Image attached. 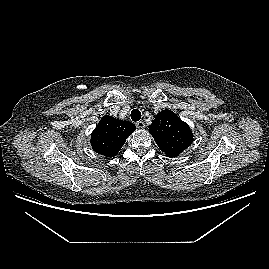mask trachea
<instances>
[{"label":"trachea","instance_id":"obj_1","mask_svg":"<svg viewBox=\"0 0 269 269\" xmlns=\"http://www.w3.org/2000/svg\"><path fill=\"white\" fill-rule=\"evenodd\" d=\"M131 119L133 121H139L141 119V112L138 109H133L131 111Z\"/></svg>","mask_w":269,"mask_h":269}]
</instances>
